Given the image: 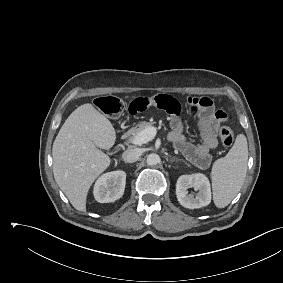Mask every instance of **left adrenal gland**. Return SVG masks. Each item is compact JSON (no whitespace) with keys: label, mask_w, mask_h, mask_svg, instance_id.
Listing matches in <instances>:
<instances>
[{"label":"left adrenal gland","mask_w":283,"mask_h":283,"mask_svg":"<svg viewBox=\"0 0 283 283\" xmlns=\"http://www.w3.org/2000/svg\"><path fill=\"white\" fill-rule=\"evenodd\" d=\"M168 160V158H166ZM178 161V159L173 158L171 162Z\"/></svg>","instance_id":"obj_1"}]
</instances>
